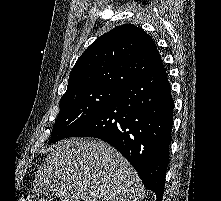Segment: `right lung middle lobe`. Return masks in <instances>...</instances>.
Listing matches in <instances>:
<instances>
[{"instance_id": "1", "label": "right lung middle lobe", "mask_w": 221, "mask_h": 201, "mask_svg": "<svg viewBox=\"0 0 221 201\" xmlns=\"http://www.w3.org/2000/svg\"><path fill=\"white\" fill-rule=\"evenodd\" d=\"M117 92V89L107 87H90L65 93L60 100L51 142L66 138L106 106Z\"/></svg>"}]
</instances>
